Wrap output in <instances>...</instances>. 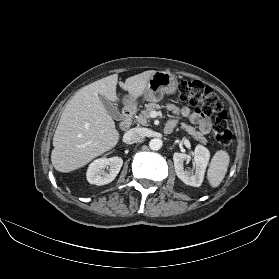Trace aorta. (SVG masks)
<instances>
[{
	"label": "aorta",
	"instance_id": "762f6f07",
	"mask_svg": "<svg viewBox=\"0 0 279 279\" xmlns=\"http://www.w3.org/2000/svg\"><path fill=\"white\" fill-rule=\"evenodd\" d=\"M163 145V141L159 138H153L149 142V147L151 150L157 151L159 150Z\"/></svg>",
	"mask_w": 279,
	"mask_h": 279
}]
</instances>
